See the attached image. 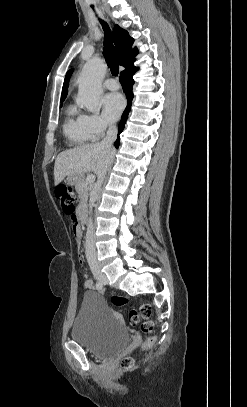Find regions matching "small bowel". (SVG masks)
<instances>
[{
	"instance_id": "c3829d8e",
	"label": "small bowel",
	"mask_w": 247,
	"mask_h": 407,
	"mask_svg": "<svg viewBox=\"0 0 247 407\" xmlns=\"http://www.w3.org/2000/svg\"><path fill=\"white\" fill-rule=\"evenodd\" d=\"M70 217H71V220L74 222V226H73L74 236H75L76 239H79L80 238V230H79V228L77 226V223H76V215L74 214V215H72ZM84 285H85L86 288H92L93 287V283L89 279L85 280Z\"/></svg>"
}]
</instances>
